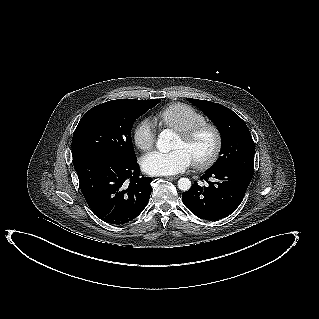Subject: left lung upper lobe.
Returning a JSON list of instances; mask_svg holds the SVG:
<instances>
[{
	"label": "left lung upper lobe",
	"mask_w": 319,
	"mask_h": 319,
	"mask_svg": "<svg viewBox=\"0 0 319 319\" xmlns=\"http://www.w3.org/2000/svg\"><path fill=\"white\" fill-rule=\"evenodd\" d=\"M187 100L213 121L221 135V156L209 169L238 167L253 173L255 146L245 122L221 104L198 99Z\"/></svg>",
	"instance_id": "obj_1"
}]
</instances>
